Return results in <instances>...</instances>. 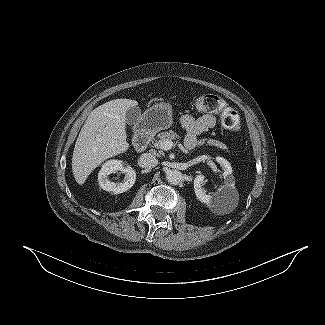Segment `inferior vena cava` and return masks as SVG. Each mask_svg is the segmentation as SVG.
<instances>
[{
    "mask_svg": "<svg viewBox=\"0 0 325 325\" xmlns=\"http://www.w3.org/2000/svg\"><path fill=\"white\" fill-rule=\"evenodd\" d=\"M139 162L145 168H154L158 165L157 158L151 153H143L139 158Z\"/></svg>",
    "mask_w": 325,
    "mask_h": 325,
    "instance_id": "602c4592",
    "label": "inferior vena cava"
}]
</instances>
